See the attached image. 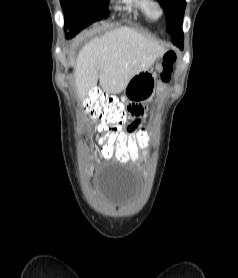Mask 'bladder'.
Listing matches in <instances>:
<instances>
[{"label": "bladder", "instance_id": "31cf9c89", "mask_svg": "<svg viewBox=\"0 0 238 278\" xmlns=\"http://www.w3.org/2000/svg\"><path fill=\"white\" fill-rule=\"evenodd\" d=\"M129 169L109 167L101 175H96V180H137V175H128ZM97 186H102V191H108L107 196L113 203H123L128 194H134L132 186H139V181H97Z\"/></svg>", "mask_w": 238, "mask_h": 278}]
</instances>
